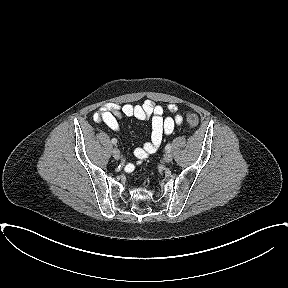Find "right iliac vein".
Returning a JSON list of instances; mask_svg holds the SVG:
<instances>
[{"instance_id":"63e3f726","label":"right iliac vein","mask_w":288,"mask_h":288,"mask_svg":"<svg viewBox=\"0 0 288 288\" xmlns=\"http://www.w3.org/2000/svg\"><path fill=\"white\" fill-rule=\"evenodd\" d=\"M113 157L116 159V160H119L120 159V151L118 149H113Z\"/></svg>"}]
</instances>
